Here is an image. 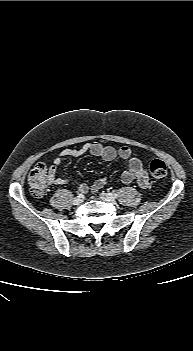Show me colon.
Masks as SVG:
<instances>
[{
    "mask_svg": "<svg viewBox=\"0 0 193 351\" xmlns=\"http://www.w3.org/2000/svg\"><path fill=\"white\" fill-rule=\"evenodd\" d=\"M151 176L156 180H164L168 175V168L164 161L155 159L149 166ZM51 171L44 163H38L28 176V184L33 195L43 196L51 182Z\"/></svg>",
    "mask_w": 193,
    "mask_h": 351,
    "instance_id": "obj_1",
    "label": "colon"
}]
</instances>
